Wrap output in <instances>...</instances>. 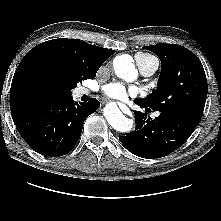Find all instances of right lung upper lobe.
I'll return each instance as SVG.
<instances>
[{
    "label": "right lung upper lobe",
    "instance_id": "1",
    "mask_svg": "<svg viewBox=\"0 0 221 221\" xmlns=\"http://www.w3.org/2000/svg\"><path fill=\"white\" fill-rule=\"evenodd\" d=\"M115 50L78 39H53L31 49L14 74L10 108L27 102L62 100L71 96V78L93 79Z\"/></svg>",
    "mask_w": 221,
    "mask_h": 221
}]
</instances>
